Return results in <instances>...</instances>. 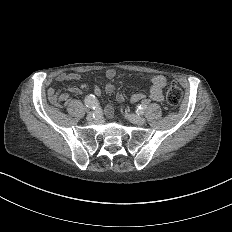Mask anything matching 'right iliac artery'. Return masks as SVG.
<instances>
[{"label":"right iliac artery","instance_id":"1","mask_svg":"<svg viewBox=\"0 0 232 232\" xmlns=\"http://www.w3.org/2000/svg\"><path fill=\"white\" fill-rule=\"evenodd\" d=\"M85 105L88 108L95 109L98 106V99L95 95L89 94L85 97Z\"/></svg>","mask_w":232,"mask_h":232}]
</instances>
